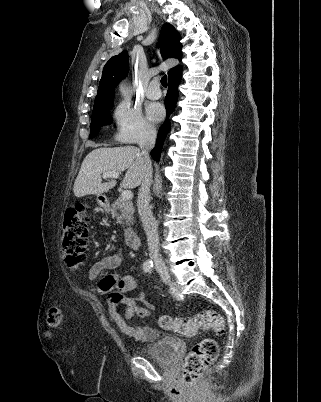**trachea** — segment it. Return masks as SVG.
Segmentation results:
<instances>
[{"mask_svg": "<svg viewBox=\"0 0 321 402\" xmlns=\"http://www.w3.org/2000/svg\"><path fill=\"white\" fill-rule=\"evenodd\" d=\"M161 84H162L163 87H167V76L166 75H164L161 78Z\"/></svg>", "mask_w": 321, "mask_h": 402, "instance_id": "1", "label": "trachea"}]
</instances>
